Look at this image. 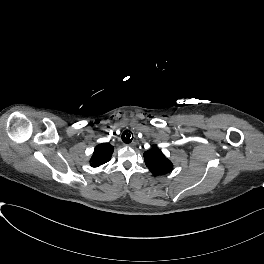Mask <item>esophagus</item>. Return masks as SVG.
Masks as SVG:
<instances>
[{"instance_id":"34e87169","label":"esophagus","mask_w":264,"mask_h":264,"mask_svg":"<svg viewBox=\"0 0 264 264\" xmlns=\"http://www.w3.org/2000/svg\"><path fill=\"white\" fill-rule=\"evenodd\" d=\"M135 145V142H131L129 144H126V146L133 147Z\"/></svg>"}]
</instances>
